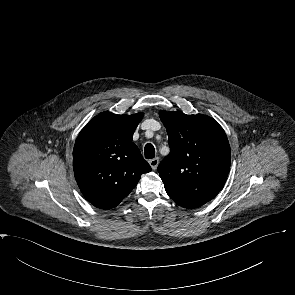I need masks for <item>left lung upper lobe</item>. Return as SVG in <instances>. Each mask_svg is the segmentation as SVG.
<instances>
[{
  "label": "left lung upper lobe",
  "mask_w": 295,
  "mask_h": 295,
  "mask_svg": "<svg viewBox=\"0 0 295 295\" xmlns=\"http://www.w3.org/2000/svg\"><path fill=\"white\" fill-rule=\"evenodd\" d=\"M170 153L157 170L167 194L184 208H197L223 188L230 170L231 151L222 127L202 114L160 111Z\"/></svg>",
  "instance_id": "obj_1"
}]
</instances>
